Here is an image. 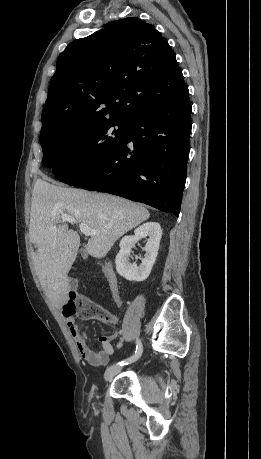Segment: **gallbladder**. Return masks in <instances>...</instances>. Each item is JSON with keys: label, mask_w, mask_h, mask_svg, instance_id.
<instances>
[{"label": "gallbladder", "mask_w": 261, "mask_h": 459, "mask_svg": "<svg viewBox=\"0 0 261 459\" xmlns=\"http://www.w3.org/2000/svg\"><path fill=\"white\" fill-rule=\"evenodd\" d=\"M81 255H82L83 258H86V253H85L84 249L81 251Z\"/></svg>", "instance_id": "bac80fb5"}]
</instances>
